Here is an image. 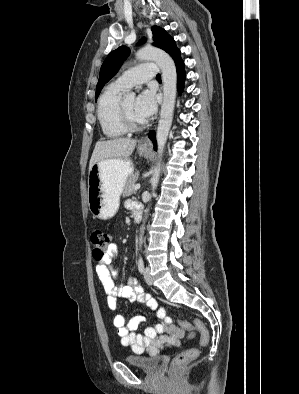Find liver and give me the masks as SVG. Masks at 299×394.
I'll return each mask as SVG.
<instances>
[{
    "mask_svg": "<svg viewBox=\"0 0 299 394\" xmlns=\"http://www.w3.org/2000/svg\"><path fill=\"white\" fill-rule=\"evenodd\" d=\"M137 141L129 138H116L98 141L93 150L89 170L91 167L105 159H127L134 151Z\"/></svg>",
    "mask_w": 299,
    "mask_h": 394,
    "instance_id": "6515ba94",
    "label": "liver"
}]
</instances>
